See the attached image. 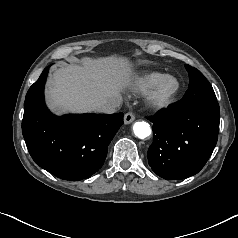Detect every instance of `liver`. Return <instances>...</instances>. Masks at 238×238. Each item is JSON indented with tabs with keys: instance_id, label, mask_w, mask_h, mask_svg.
I'll return each mask as SVG.
<instances>
[{
	"instance_id": "1",
	"label": "liver",
	"mask_w": 238,
	"mask_h": 238,
	"mask_svg": "<svg viewBox=\"0 0 238 238\" xmlns=\"http://www.w3.org/2000/svg\"><path fill=\"white\" fill-rule=\"evenodd\" d=\"M131 63L122 57H84L79 65L57 69L47 85L48 106L58 113L96 111L101 103L121 99L132 80Z\"/></svg>"
}]
</instances>
